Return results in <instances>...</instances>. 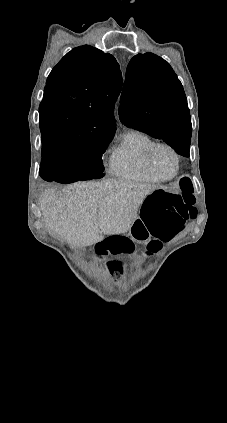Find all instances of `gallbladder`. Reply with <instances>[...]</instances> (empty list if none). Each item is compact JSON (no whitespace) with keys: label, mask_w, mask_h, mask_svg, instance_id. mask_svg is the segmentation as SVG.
<instances>
[{"label":"gallbladder","mask_w":227,"mask_h":423,"mask_svg":"<svg viewBox=\"0 0 227 423\" xmlns=\"http://www.w3.org/2000/svg\"><path fill=\"white\" fill-rule=\"evenodd\" d=\"M85 251H86L85 247H81V253H82V255H84Z\"/></svg>","instance_id":"1"}]
</instances>
